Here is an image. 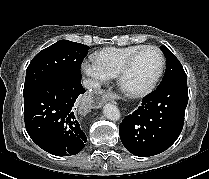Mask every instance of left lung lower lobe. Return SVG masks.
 Here are the masks:
<instances>
[{
    "label": "left lung lower lobe",
    "instance_id": "left-lung-lower-lobe-1",
    "mask_svg": "<svg viewBox=\"0 0 209 179\" xmlns=\"http://www.w3.org/2000/svg\"><path fill=\"white\" fill-rule=\"evenodd\" d=\"M188 103L187 79L158 87L119 126L125 148L148 157L168 149L180 135Z\"/></svg>",
    "mask_w": 209,
    "mask_h": 179
}]
</instances>
